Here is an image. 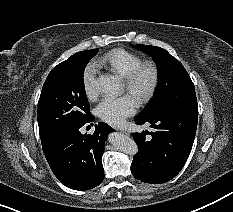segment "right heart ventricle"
Listing matches in <instances>:
<instances>
[{
    "mask_svg": "<svg viewBox=\"0 0 233 212\" xmlns=\"http://www.w3.org/2000/svg\"><path fill=\"white\" fill-rule=\"evenodd\" d=\"M142 58L126 49H113L97 60V65L125 78L136 66L142 63Z\"/></svg>",
    "mask_w": 233,
    "mask_h": 212,
    "instance_id": "obj_1",
    "label": "right heart ventricle"
}]
</instances>
